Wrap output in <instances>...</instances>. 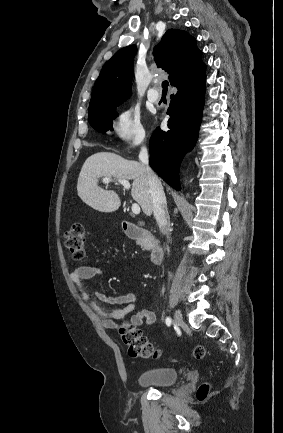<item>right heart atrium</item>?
<instances>
[{
	"label": "right heart atrium",
	"instance_id": "right-heart-atrium-1",
	"mask_svg": "<svg viewBox=\"0 0 283 433\" xmlns=\"http://www.w3.org/2000/svg\"><path fill=\"white\" fill-rule=\"evenodd\" d=\"M111 130L121 151L137 149L148 141L142 113L134 105L125 106L117 113Z\"/></svg>",
	"mask_w": 283,
	"mask_h": 433
}]
</instances>
